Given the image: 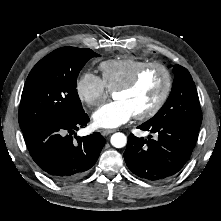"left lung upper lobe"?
I'll return each mask as SVG.
<instances>
[{
	"instance_id": "obj_1",
	"label": "left lung upper lobe",
	"mask_w": 221,
	"mask_h": 221,
	"mask_svg": "<svg viewBox=\"0 0 221 221\" xmlns=\"http://www.w3.org/2000/svg\"><path fill=\"white\" fill-rule=\"evenodd\" d=\"M174 81L171 93L162 109L150 122L169 120L199 132L202 113L195 84L188 70L178 64L173 67Z\"/></svg>"
}]
</instances>
